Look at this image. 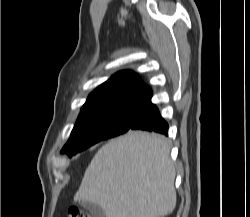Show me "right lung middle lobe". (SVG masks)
<instances>
[{"label": "right lung middle lobe", "instance_id": "obj_1", "mask_svg": "<svg viewBox=\"0 0 250 217\" xmlns=\"http://www.w3.org/2000/svg\"><path fill=\"white\" fill-rule=\"evenodd\" d=\"M141 105L104 110L78 117L71 137L61 153L76 154L101 140H106L130 130Z\"/></svg>", "mask_w": 250, "mask_h": 217}]
</instances>
